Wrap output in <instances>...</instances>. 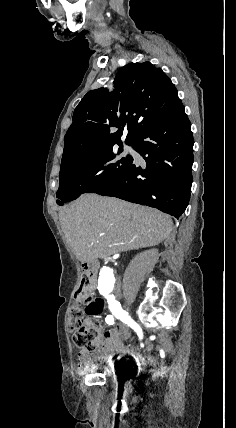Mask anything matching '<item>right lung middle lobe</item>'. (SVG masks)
Wrapping results in <instances>:
<instances>
[{
	"instance_id": "dd1d6c3e",
	"label": "right lung middle lobe",
	"mask_w": 236,
	"mask_h": 428,
	"mask_svg": "<svg viewBox=\"0 0 236 428\" xmlns=\"http://www.w3.org/2000/svg\"><path fill=\"white\" fill-rule=\"evenodd\" d=\"M127 145H133V141H125ZM119 145L118 154L123 151L122 142ZM84 157L70 166L61 169L59 173V189L57 191L58 205L75 200L83 193H95L109 185L121 171L132 163V157H123L115 161L113 146Z\"/></svg>"
}]
</instances>
